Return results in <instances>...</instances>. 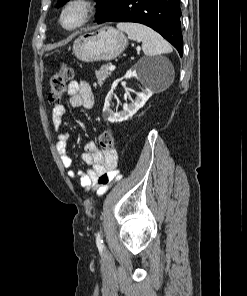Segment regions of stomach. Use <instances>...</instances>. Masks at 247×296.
Returning a JSON list of instances; mask_svg holds the SVG:
<instances>
[{
  "label": "stomach",
  "instance_id": "stomach-1",
  "mask_svg": "<svg viewBox=\"0 0 247 296\" xmlns=\"http://www.w3.org/2000/svg\"><path fill=\"white\" fill-rule=\"evenodd\" d=\"M127 45L128 40L122 32L106 26L80 34L73 43V53L86 63L110 61L118 57Z\"/></svg>",
  "mask_w": 247,
  "mask_h": 296
}]
</instances>
